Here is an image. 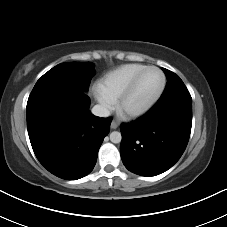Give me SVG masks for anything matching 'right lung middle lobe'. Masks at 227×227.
<instances>
[{
  "instance_id": "dd1d6c3e",
  "label": "right lung middle lobe",
  "mask_w": 227,
  "mask_h": 227,
  "mask_svg": "<svg viewBox=\"0 0 227 227\" xmlns=\"http://www.w3.org/2000/svg\"><path fill=\"white\" fill-rule=\"evenodd\" d=\"M94 75V64L91 62L61 63L53 67L37 81L27 104L55 92L87 88Z\"/></svg>"
}]
</instances>
